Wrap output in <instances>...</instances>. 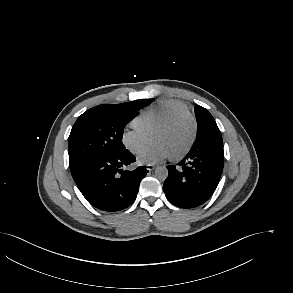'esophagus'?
I'll return each instance as SVG.
<instances>
[{"mask_svg":"<svg viewBox=\"0 0 293 293\" xmlns=\"http://www.w3.org/2000/svg\"><path fill=\"white\" fill-rule=\"evenodd\" d=\"M155 168H156L155 165H147V166H146V169H147L148 171H152V170H154Z\"/></svg>","mask_w":293,"mask_h":293,"instance_id":"34e87169","label":"esophagus"}]
</instances>
